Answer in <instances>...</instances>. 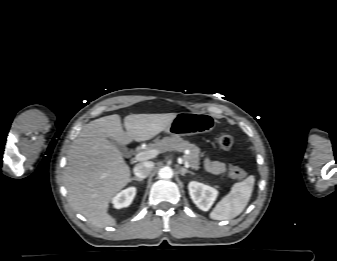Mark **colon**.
<instances>
[{"mask_svg": "<svg viewBox=\"0 0 337 261\" xmlns=\"http://www.w3.org/2000/svg\"><path fill=\"white\" fill-rule=\"evenodd\" d=\"M233 137L230 134H221L217 138V144L221 149H229L233 145ZM228 173L229 175L236 180H243L246 176L247 173L235 166H230L228 168Z\"/></svg>", "mask_w": 337, "mask_h": 261, "instance_id": "1", "label": "colon"}]
</instances>
